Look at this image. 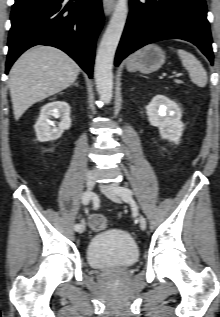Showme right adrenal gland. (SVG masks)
<instances>
[{
    "mask_svg": "<svg viewBox=\"0 0 220 317\" xmlns=\"http://www.w3.org/2000/svg\"><path fill=\"white\" fill-rule=\"evenodd\" d=\"M73 85L77 87L79 86L78 82H75Z\"/></svg>",
    "mask_w": 220,
    "mask_h": 317,
    "instance_id": "right-adrenal-gland-1",
    "label": "right adrenal gland"
}]
</instances>
